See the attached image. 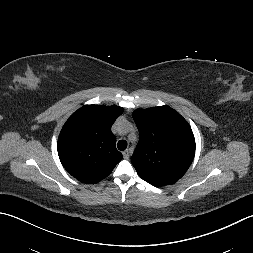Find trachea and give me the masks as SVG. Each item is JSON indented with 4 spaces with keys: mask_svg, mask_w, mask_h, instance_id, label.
<instances>
[{
    "mask_svg": "<svg viewBox=\"0 0 253 253\" xmlns=\"http://www.w3.org/2000/svg\"><path fill=\"white\" fill-rule=\"evenodd\" d=\"M117 147L120 151H124L127 148V142L125 140H120L117 143Z\"/></svg>",
    "mask_w": 253,
    "mask_h": 253,
    "instance_id": "obj_1",
    "label": "trachea"
}]
</instances>
